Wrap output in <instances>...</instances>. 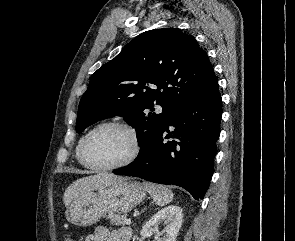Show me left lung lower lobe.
<instances>
[{
	"label": "left lung lower lobe",
	"instance_id": "obj_1",
	"mask_svg": "<svg viewBox=\"0 0 295 241\" xmlns=\"http://www.w3.org/2000/svg\"><path fill=\"white\" fill-rule=\"evenodd\" d=\"M221 116L222 100L216 79L202 93L180 105L132 163L113 173L177 185L196 200L203 199L214 171ZM169 138L173 140L166 142Z\"/></svg>",
	"mask_w": 295,
	"mask_h": 241
}]
</instances>
